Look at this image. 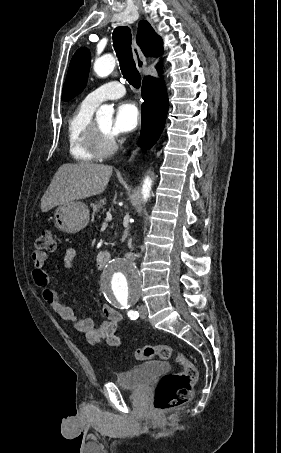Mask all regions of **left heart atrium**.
<instances>
[{
	"label": "left heart atrium",
	"instance_id": "obj_1",
	"mask_svg": "<svg viewBox=\"0 0 281 453\" xmlns=\"http://www.w3.org/2000/svg\"><path fill=\"white\" fill-rule=\"evenodd\" d=\"M140 122L138 107L130 101H122L116 109V113L110 128L112 136L135 130Z\"/></svg>",
	"mask_w": 281,
	"mask_h": 453
}]
</instances>
